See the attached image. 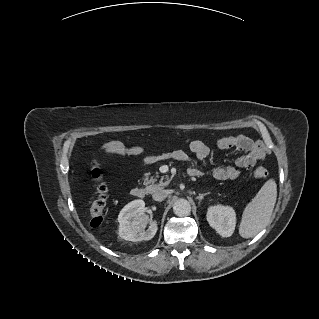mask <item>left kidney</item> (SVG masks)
<instances>
[{
    "label": "left kidney",
    "mask_w": 319,
    "mask_h": 319,
    "mask_svg": "<svg viewBox=\"0 0 319 319\" xmlns=\"http://www.w3.org/2000/svg\"><path fill=\"white\" fill-rule=\"evenodd\" d=\"M209 225L222 237H230L236 226V213L230 206L221 204L210 206L207 211Z\"/></svg>",
    "instance_id": "5707ae66"
}]
</instances>
